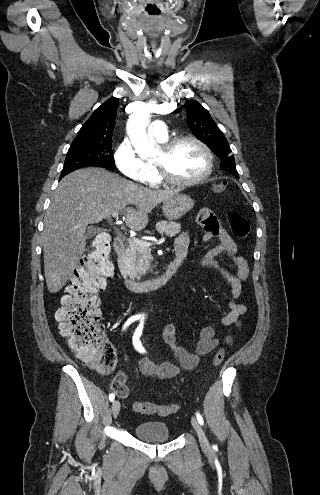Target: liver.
<instances>
[{
    "label": "liver",
    "mask_w": 320,
    "mask_h": 495,
    "mask_svg": "<svg viewBox=\"0 0 320 495\" xmlns=\"http://www.w3.org/2000/svg\"><path fill=\"white\" fill-rule=\"evenodd\" d=\"M176 193L178 190L147 189L101 168L80 169L65 176L44 217V273L49 292L57 293L72 276L85 250L89 224L121 211L125 224L141 231L148 214Z\"/></svg>",
    "instance_id": "6515ba94"
}]
</instances>
